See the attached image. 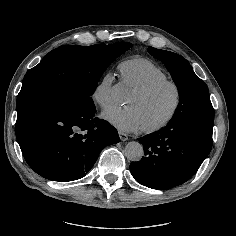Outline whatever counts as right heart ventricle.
Returning <instances> with one entry per match:
<instances>
[{
	"instance_id": "e07e8e85",
	"label": "right heart ventricle",
	"mask_w": 236,
	"mask_h": 236,
	"mask_svg": "<svg viewBox=\"0 0 236 236\" xmlns=\"http://www.w3.org/2000/svg\"><path fill=\"white\" fill-rule=\"evenodd\" d=\"M123 83L133 90L144 88L153 82L169 79V74L159 65L144 57H134L119 64Z\"/></svg>"
}]
</instances>
